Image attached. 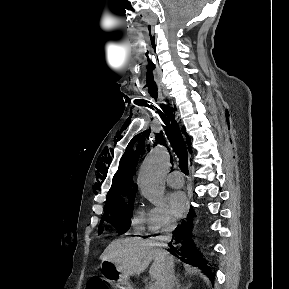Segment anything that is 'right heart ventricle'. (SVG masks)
I'll list each match as a JSON object with an SVG mask.
<instances>
[{
  "mask_svg": "<svg viewBox=\"0 0 289 289\" xmlns=\"http://www.w3.org/2000/svg\"><path fill=\"white\" fill-rule=\"evenodd\" d=\"M148 212L142 207H136L132 216V226L136 233L144 234L147 230Z\"/></svg>",
  "mask_w": 289,
  "mask_h": 289,
  "instance_id": "obj_1",
  "label": "right heart ventricle"
}]
</instances>
